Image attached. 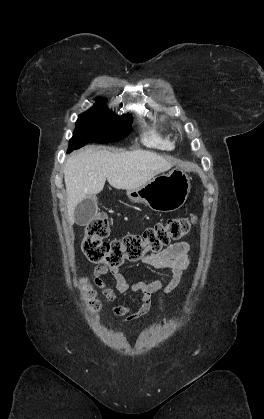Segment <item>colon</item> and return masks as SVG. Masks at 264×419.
Returning <instances> with one entry per match:
<instances>
[{
  "label": "colon",
  "mask_w": 264,
  "mask_h": 419,
  "mask_svg": "<svg viewBox=\"0 0 264 419\" xmlns=\"http://www.w3.org/2000/svg\"><path fill=\"white\" fill-rule=\"evenodd\" d=\"M193 222V218H170L164 223L146 228L141 234H129L122 239L105 241L110 231V223L106 215L100 214L87 224L81 249L90 262L119 268L127 261L141 260L147 253L160 252L171 241L184 237ZM82 288L89 309L92 312L98 311L101 303L93 287L84 281Z\"/></svg>",
  "instance_id": "5ec220e1"
}]
</instances>
